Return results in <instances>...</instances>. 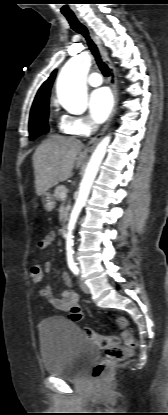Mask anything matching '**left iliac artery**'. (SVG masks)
Here are the masks:
<instances>
[{
    "label": "left iliac artery",
    "mask_w": 168,
    "mask_h": 415,
    "mask_svg": "<svg viewBox=\"0 0 168 415\" xmlns=\"http://www.w3.org/2000/svg\"><path fill=\"white\" fill-rule=\"evenodd\" d=\"M71 270H72V272L76 275V276H78L79 275V269H78V267L77 266H71Z\"/></svg>",
    "instance_id": "obj_1"
}]
</instances>
